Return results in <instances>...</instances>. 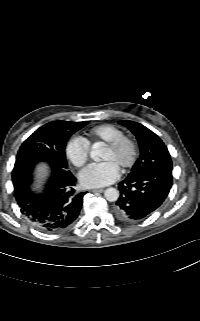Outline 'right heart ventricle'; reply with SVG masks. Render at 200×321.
I'll use <instances>...</instances> for the list:
<instances>
[{
    "label": "right heart ventricle",
    "mask_w": 200,
    "mask_h": 321,
    "mask_svg": "<svg viewBox=\"0 0 200 321\" xmlns=\"http://www.w3.org/2000/svg\"><path fill=\"white\" fill-rule=\"evenodd\" d=\"M122 135H124V132L117 126L112 124H102L92 128L85 140L88 144L96 142L108 143Z\"/></svg>",
    "instance_id": "right-heart-ventricle-1"
}]
</instances>
